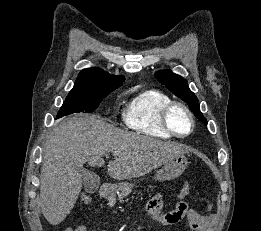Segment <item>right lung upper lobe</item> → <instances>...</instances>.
Segmentation results:
<instances>
[{
    "label": "right lung upper lobe",
    "mask_w": 261,
    "mask_h": 231,
    "mask_svg": "<svg viewBox=\"0 0 261 231\" xmlns=\"http://www.w3.org/2000/svg\"><path fill=\"white\" fill-rule=\"evenodd\" d=\"M123 76L111 75L99 68H88L82 70L70 93L96 94L112 92L122 85Z\"/></svg>",
    "instance_id": "obj_1"
}]
</instances>
